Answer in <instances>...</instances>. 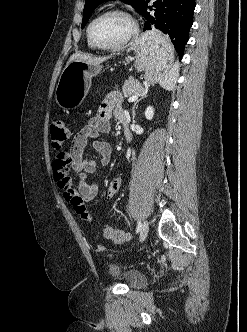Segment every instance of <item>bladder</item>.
Masks as SVG:
<instances>
[{"mask_svg": "<svg viewBox=\"0 0 247 332\" xmlns=\"http://www.w3.org/2000/svg\"><path fill=\"white\" fill-rule=\"evenodd\" d=\"M108 273L112 278L120 281L129 288L137 289L146 284V277L143 273L135 269H125L116 263L108 265Z\"/></svg>", "mask_w": 247, "mask_h": 332, "instance_id": "31cf9c89", "label": "bladder"}]
</instances>
